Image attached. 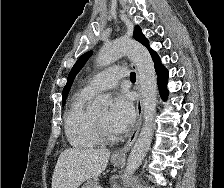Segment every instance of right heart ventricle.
I'll use <instances>...</instances> for the list:
<instances>
[{"label": "right heart ventricle", "instance_id": "obj_1", "mask_svg": "<svg viewBox=\"0 0 224 188\" xmlns=\"http://www.w3.org/2000/svg\"><path fill=\"white\" fill-rule=\"evenodd\" d=\"M94 94L85 89L77 92L65 113V133L69 143L80 149L93 148L100 143L93 126L89 103Z\"/></svg>", "mask_w": 224, "mask_h": 188}]
</instances>
